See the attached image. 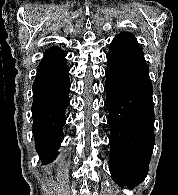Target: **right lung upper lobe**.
Here are the masks:
<instances>
[{
    "instance_id": "right-lung-upper-lobe-1",
    "label": "right lung upper lobe",
    "mask_w": 178,
    "mask_h": 195,
    "mask_svg": "<svg viewBox=\"0 0 178 195\" xmlns=\"http://www.w3.org/2000/svg\"><path fill=\"white\" fill-rule=\"evenodd\" d=\"M65 53L61 48L58 47H52L49 50H47L44 54V58L42 59L39 66L42 65H49L58 63L65 60Z\"/></svg>"
}]
</instances>
